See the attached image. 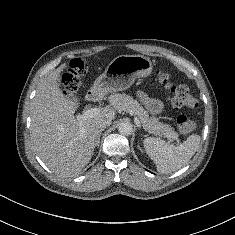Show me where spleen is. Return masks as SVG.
Instances as JSON below:
<instances>
[{"instance_id":"obj_1","label":"spleen","mask_w":235,"mask_h":235,"mask_svg":"<svg viewBox=\"0 0 235 235\" xmlns=\"http://www.w3.org/2000/svg\"><path fill=\"white\" fill-rule=\"evenodd\" d=\"M201 137L192 134L180 145H172L156 137L144 139L146 153L153 160L157 171L167 174L185 165L199 148Z\"/></svg>"}]
</instances>
